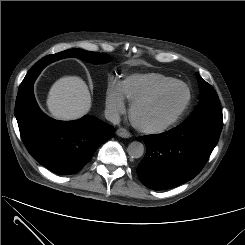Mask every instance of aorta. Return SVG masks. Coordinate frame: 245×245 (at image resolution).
Masks as SVG:
<instances>
[{
    "label": "aorta",
    "instance_id": "762f6f07",
    "mask_svg": "<svg viewBox=\"0 0 245 245\" xmlns=\"http://www.w3.org/2000/svg\"><path fill=\"white\" fill-rule=\"evenodd\" d=\"M127 152L132 158H140L144 153V146L141 142L133 141L128 145Z\"/></svg>",
    "mask_w": 245,
    "mask_h": 245
}]
</instances>
